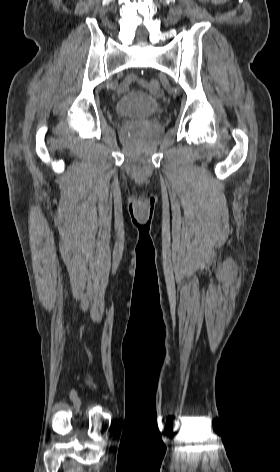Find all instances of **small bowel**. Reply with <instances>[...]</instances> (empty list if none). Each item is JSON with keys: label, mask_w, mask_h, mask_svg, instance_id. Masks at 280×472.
Instances as JSON below:
<instances>
[{"label": "small bowel", "mask_w": 280, "mask_h": 472, "mask_svg": "<svg viewBox=\"0 0 280 472\" xmlns=\"http://www.w3.org/2000/svg\"><path fill=\"white\" fill-rule=\"evenodd\" d=\"M135 82L140 83V84L145 85V86L147 85V83H146L144 80L138 78V77H137L136 75H134V74H130V75H128V76L124 79V81L122 82V84H121V86H120V90H121L122 92L127 91V90L129 89L130 85L133 84V83H135Z\"/></svg>", "instance_id": "1"}]
</instances>
